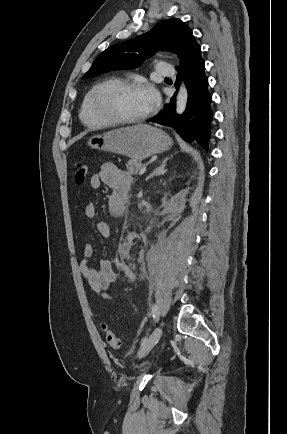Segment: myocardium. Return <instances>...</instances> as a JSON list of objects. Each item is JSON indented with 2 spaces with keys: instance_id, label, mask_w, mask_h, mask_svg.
<instances>
[{
  "instance_id": "myocardium-1",
  "label": "myocardium",
  "mask_w": 287,
  "mask_h": 434,
  "mask_svg": "<svg viewBox=\"0 0 287 434\" xmlns=\"http://www.w3.org/2000/svg\"><path fill=\"white\" fill-rule=\"evenodd\" d=\"M141 81L123 78H113L103 82L95 91L92 98V109L94 114L105 121L107 124L129 125L136 124L147 119L151 111L148 110L143 115L134 118H120L107 110L105 96L108 92L119 88H134L141 86Z\"/></svg>"
}]
</instances>
